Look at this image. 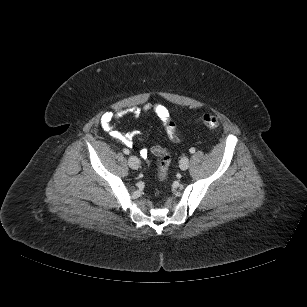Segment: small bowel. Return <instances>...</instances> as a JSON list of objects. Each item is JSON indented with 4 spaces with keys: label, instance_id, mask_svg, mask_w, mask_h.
I'll list each match as a JSON object with an SVG mask.
<instances>
[{
    "label": "small bowel",
    "instance_id": "c3829d8e",
    "mask_svg": "<svg viewBox=\"0 0 307 307\" xmlns=\"http://www.w3.org/2000/svg\"><path fill=\"white\" fill-rule=\"evenodd\" d=\"M143 111L146 113L149 112H154L157 117L163 121L165 123L166 119L169 118V113L168 110L162 106V105H158V104H147L144 106ZM133 115L135 117H138L141 113V111L137 108L133 109ZM123 116L122 112L119 113H113L111 111H107L105 113L102 114L101 118H100V124L101 127L113 138L120 140L121 142H123L125 145H127L128 147L132 146V140L129 134H124L121 131H119L116 127V122L121 119V117ZM140 155L142 158H146L148 156V151L147 149H142L140 151Z\"/></svg>",
    "mask_w": 307,
    "mask_h": 307
}]
</instances>
